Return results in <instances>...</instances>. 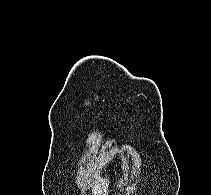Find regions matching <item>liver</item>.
Segmentation results:
<instances>
[{
	"instance_id": "obj_1",
	"label": "liver",
	"mask_w": 211,
	"mask_h": 195,
	"mask_svg": "<svg viewBox=\"0 0 211 195\" xmlns=\"http://www.w3.org/2000/svg\"><path fill=\"white\" fill-rule=\"evenodd\" d=\"M95 184H92V195H108L109 179L94 174Z\"/></svg>"
}]
</instances>
